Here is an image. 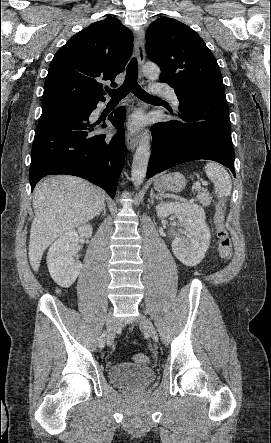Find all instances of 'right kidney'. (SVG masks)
<instances>
[{"mask_svg":"<svg viewBox=\"0 0 271 443\" xmlns=\"http://www.w3.org/2000/svg\"><path fill=\"white\" fill-rule=\"evenodd\" d=\"M92 233V225L85 223V225L78 227V231H75V229L66 231L49 247L47 253L48 269L52 279L61 287H70L80 273L82 263L73 257L77 253L75 245L80 239L79 235L91 237Z\"/></svg>","mask_w":271,"mask_h":443,"instance_id":"obj_1","label":"right kidney"}]
</instances>
